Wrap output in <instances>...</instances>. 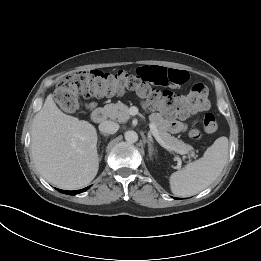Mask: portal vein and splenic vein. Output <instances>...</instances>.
<instances>
[{
    "label": "portal vein and splenic vein",
    "instance_id": "obj_1",
    "mask_svg": "<svg viewBox=\"0 0 261 261\" xmlns=\"http://www.w3.org/2000/svg\"><path fill=\"white\" fill-rule=\"evenodd\" d=\"M150 132L154 136V138L157 140V142L164 147L167 150H172L168 145L165 144V142L162 140V138L159 136L157 127L154 123H149Z\"/></svg>",
    "mask_w": 261,
    "mask_h": 261
}]
</instances>
